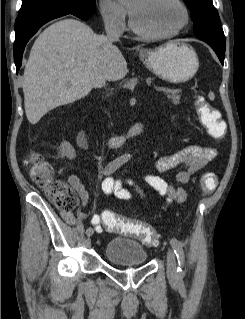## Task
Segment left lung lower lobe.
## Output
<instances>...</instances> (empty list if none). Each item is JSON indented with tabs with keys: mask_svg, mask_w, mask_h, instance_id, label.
<instances>
[{
	"mask_svg": "<svg viewBox=\"0 0 245 319\" xmlns=\"http://www.w3.org/2000/svg\"><path fill=\"white\" fill-rule=\"evenodd\" d=\"M214 51L216 52L218 58L220 59L221 63H224V57H225V50H222L216 46L210 45Z\"/></svg>",
	"mask_w": 245,
	"mask_h": 319,
	"instance_id": "obj_1",
	"label": "left lung lower lobe"
}]
</instances>
